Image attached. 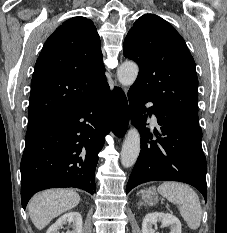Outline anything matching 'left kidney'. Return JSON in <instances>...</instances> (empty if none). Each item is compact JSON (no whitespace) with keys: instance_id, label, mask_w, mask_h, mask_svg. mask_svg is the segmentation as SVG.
I'll return each instance as SVG.
<instances>
[{"instance_id":"left-kidney-1","label":"left kidney","mask_w":227,"mask_h":233,"mask_svg":"<svg viewBox=\"0 0 227 233\" xmlns=\"http://www.w3.org/2000/svg\"><path fill=\"white\" fill-rule=\"evenodd\" d=\"M161 222L162 226H170V233H182L180 220L172 214L159 212L149 213L142 222V233H156L153 225Z\"/></svg>"}]
</instances>
